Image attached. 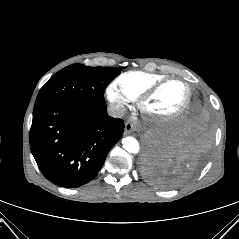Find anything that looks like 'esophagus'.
I'll return each mask as SVG.
<instances>
[{
  "mask_svg": "<svg viewBox=\"0 0 239 239\" xmlns=\"http://www.w3.org/2000/svg\"><path fill=\"white\" fill-rule=\"evenodd\" d=\"M136 129H137V127L133 123H131V122H126L125 123V133L126 134H129V133L133 132Z\"/></svg>",
  "mask_w": 239,
  "mask_h": 239,
  "instance_id": "34e87169",
  "label": "esophagus"
}]
</instances>
